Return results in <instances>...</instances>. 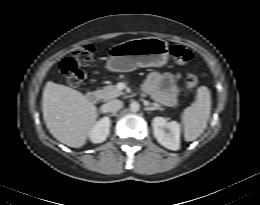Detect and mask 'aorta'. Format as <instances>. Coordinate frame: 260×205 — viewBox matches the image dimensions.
Segmentation results:
<instances>
[{
  "instance_id": "aorta-1",
  "label": "aorta",
  "mask_w": 260,
  "mask_h": 205,
  "mask_svg": "<svg viewBox=\"0 0 260 205\" xmlns=\"http://www.w3.org/2000/svg\"><path fill=\"white\" fill-rule=\"evenodd\" d=\"M139 109H140V105H139V103L138 102H132L131 104H130V110L132 111V112H137V111H139Z\"/></svg>"
}]
</instances>
